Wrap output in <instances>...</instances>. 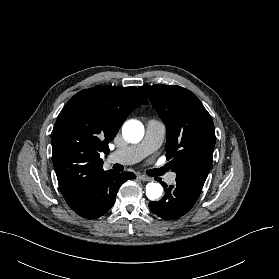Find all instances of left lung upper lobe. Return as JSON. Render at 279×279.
I'll use <instances>...</instances> for the list:
<instances>
[{"instance_id": "obj_1", "label": "left lung upper lobe", "mask_w": 279, "mask_h": 279, "mask_svg": "<svg viewBox=\"0 0 279 279\" xmlns=\"http://www.w3.org/2000/svg\"><path fill=\"white\" fill-rule=\"evenodd\" d=\"M164 121L167 130L166 156L176 182L202 190L215 147L210 114L189 90L177 85L140 87Z\"/></svg>"}]
</instances>
